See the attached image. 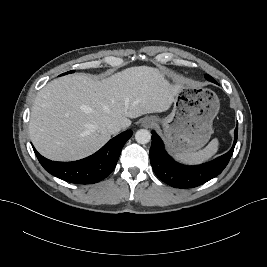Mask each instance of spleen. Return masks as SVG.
<instances>
[{"mask_svg": "<svg viewBox=\"0 0 267 267\" xmlns=\"http://www.w3.org/2000/svg\"><path fill=\"white\" fill-rule=\"evenodd\" d=\"M218 148L219 141L215 138L203 150L198 152L176 153L175 157L186 164H199L209 160L218 151Z\"/></svg>", "mask_w": 267, "mask_h": 267, "instance_id": "3e777b00", "label": "spleen"}]
</instances>
